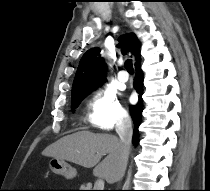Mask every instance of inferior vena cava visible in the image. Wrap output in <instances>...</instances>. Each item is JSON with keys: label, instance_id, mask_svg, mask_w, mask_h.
<instances>
[{"label": "inferior vena cava", "instance_id": "602c4592", "mask_svg": "<svg viewBox=\"0 0 210 191\" xmlns=\"http://www.w3.org/2000/svg\"><path fill=\"white\" fill-rule=\"evenodd\" d=\"M116 132L120 138L121 156L119 163L118 181L122 179L128 163L131 141H132V121L125 113L121 115L116 123Z\"/></svg>", "mask_w": 210, "mask_h": 191}]
</instances>
